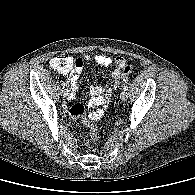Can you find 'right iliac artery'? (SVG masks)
<instances>
[{"instance_id":"right-iliac-artery-1","label":"right iliac artery","mask_w":195,"mask_h":195,"mask_svg":"<svg viewBox=\"0 0 195 195\" xmlns=\"http://www.w3.org/2000/svg\"><path fill=\"white\" fill-rule=\"evenodd\" d=\"M63 88L65 87V83H62Z\"/></svg>"}]
</instances>
